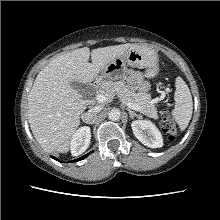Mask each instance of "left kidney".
Masks as SVG:
<instances>
[{"label": "left kidney", "mask_w": 220, "mask_h": 220, "mask_svg": "<svg viewBox=\"0 0 220 220\" xmlns=\"http://www.w3.org/2000/svg\"><path fill=\"white\" fill-rule=\"evenodd\" d=\"M131 126L135 137L145 146L150 148L163 146L162 135L151 121L135 120Z\"/></svg>", "instance_id": "1"}]
</instances>
